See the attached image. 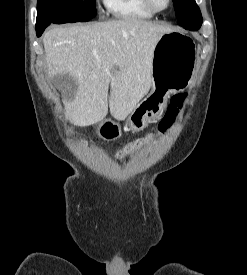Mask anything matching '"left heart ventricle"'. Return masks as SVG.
Instances as JSON below:
<instances>
[{
  "label": "left heart ventricle",
  "mask_w": 247,
  "mask_h": 275,
  "mask_svg": "<svg viewBox=\"0 0 247 275\" xmlns=\"http://www.w3.org/2000/svg\"><path fill=\"white\" fill-rule=\"evenodd\" d=\"M153 2H154V5L160 9L166 7L167 5V0H153Z\"/></svg>",
  "instance_id": "left-heart-ventricle-1"
}]
</instances>
